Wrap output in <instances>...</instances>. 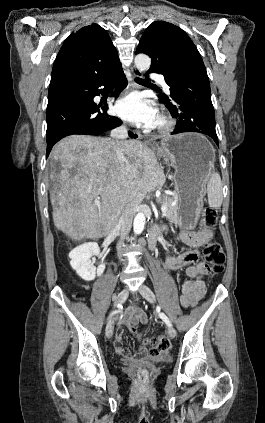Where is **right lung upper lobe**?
Returning a JSON list of instances; mask_svg holds the SVG:
<instances>
[{
    "instance_id": "cb5924a9",
    "label": "right lung upper lobe",
    "mask_w": 265,
    "mask_h": 423,
    "mask_svg": "<svg viewBox=\"0 0 265 423\" xmlns=\"http://www.w3.org/2000/svg\"><path fill=\"white\" fill-rule=\"evenodd\" d=\"M118 53L108 33L98 24L73 32L63 43L53 65L50 88L90 78H104L121 70Z\"/></svg>"
}]
</instances>
